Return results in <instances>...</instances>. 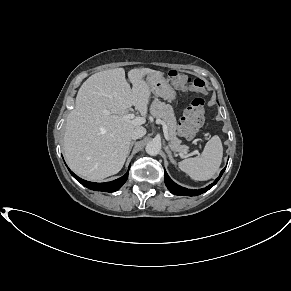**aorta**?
Segmentation results:
<instances>
[{
  "instance_id": "obj_1",
  "label": "aorta",
  "mask_w": 291,
  "mask_h": 291,
  "mask_svg": "<svg viewBox=\"0 0 291 291\" xmlns=\"http://www.w3.org/2000/svg\"><path fill=\"white\" fill-rule=\"evenodd\" d=\"M145 150L149 155H157L161 150V143L157 140H152L147 143Z\"/></svg>"
}]
</instances>
